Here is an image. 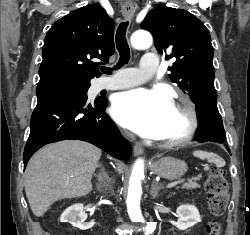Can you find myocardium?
Instances as JSON below:
<instances>
[{
  "label": "myocardium",
  "instance_id": "1",
  "mask_svg": "<svg viewBox=\"0 0 250 235\" xmlns=\"http://www.w3.org/2000/svg\"><path fill=\"white\" fill-rule=\"evenodd\" d=\"M174 109L184 114L187 124L185 130L180 135L171 139L158 140L165 147H176L189 143L194 138L199 127L198 112L189 99H181L175 104Z\"/></svg>",
  "mask_w": 250,
  "mask_h": 235
}]
</instances>
